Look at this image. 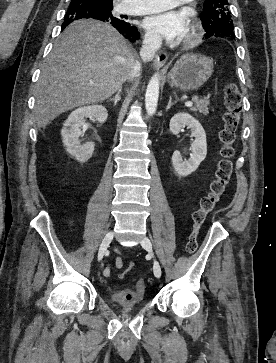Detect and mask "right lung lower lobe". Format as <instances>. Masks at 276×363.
<instances>
[{
    "label": "right lung lower lobe",
    "mask_w": 276,
    "mask_h": 363,
    "mask_svg": "<svg viewBox=\"0 0 276 363\" xmlns=\"http://www.w3.org/2000/svg\"><path fill=\"white\" fill-rule=\"evenodd\" d=\"M82 18H93L103 22H109L126 38L132 39L133 41L139 39L140 34L137 31V28L131 27L130 24L125 21L117 22L113 19H104L96 11L88 7H78L76 9L67 10L64 17V23L62 24V30L71 22Z\"/></svg>",
    "instance_id": "98d812e1"
}]
</instances>
